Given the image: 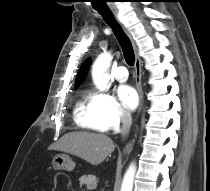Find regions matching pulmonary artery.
I'll return each instance as SVG.
<instances>
[{
	"label": "pulmonary artery",
	"instance_id": "1",
	"mask_svg": "<svg viewBox=\"0 0 210 191\" xmlns=\"http://www.w3.org/2000/svg\"><path fill=\"white\" fill-rule=\"evenodd\" d=\"M115 78H116L117 81H119V82H125V81L128 79V71H127L126 67H124V66H119V67L116 69Z\"/></svg>",
	"mask_w": 210,
	"mask_h": 191
}]
</instances>
